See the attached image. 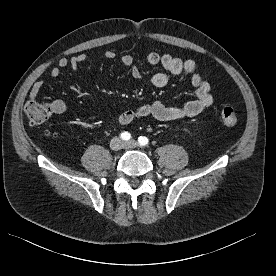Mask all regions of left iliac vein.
Returning a JSON list of instances; mask_svg holds the SVG:
<instances>
[{"label": "left iliac vein", "instance_id": "obj_1", "mask_svg": "<svg viewBox=\"0 0 276 276\" xmlns=\"http://www.w3.org/2000/svg\"><path fill=\"white\" fill-rule=\"evenodd\" d=\"M138 146V143L135 140H130L124 143V148L131 149L136 148Z\"/></svg>", "mask_w": 276, "mask_h": 276}]
</instances>
